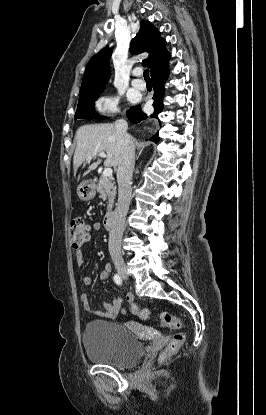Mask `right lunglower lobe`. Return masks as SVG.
<instances>
[{
    "instance_id": "right-lung-lower-lobe-1",
    "label": "right lung lower lobe",
    "mask_w": 266,
    "mask_h": 415,
    "mask_svg": "<svg viewBox=\"0 0 266 415\" xmlns=\"http://www.w3.org/2000/svg\"><path fill=\"white\" fill-rule=\"evenodd\" d=\"M167 73H168V66L162 69L160 72L154 74L152 78L153 87H154V113L151 115H146L142 112L140 106H136L130 110L127 111V116L129 120L133 123H139L141 121L147 120L149 118H156L158 119V115L160 112H162L164 106H163V98L165 95V88L164 84L167 79ZM160 122V120H158ZM153 141L157 142L159 140V135L156 133L152 137Z\"/></svg>"
}]
</instances>
